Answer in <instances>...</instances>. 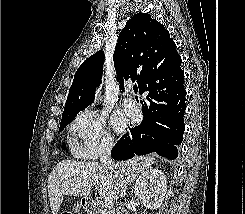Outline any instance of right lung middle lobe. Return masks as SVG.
<instances>
[{"label": "right lung middle lobe", "instance_id": "1", "mask_svg": "<svg viewBox=\"0 0 245 214\" xmlns=\"http://www.w3.org/2000/svg\"><path fill=\"white\" fill-rule=\"evenodd\" d=\"M76 113H70V114H63L60 124V131H62L77 115Z\"/></svg>", "mask_w": 245, "mask_h": 214}]
</instances>
